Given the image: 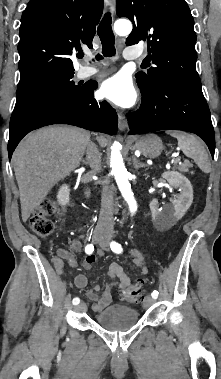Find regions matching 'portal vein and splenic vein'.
<instances>
[{
    "instance_id": "1",
    "label": "portal vein and splenic vein",
    "mask_w": 221,
    "mask_h": 379,
    "mask_svg": "<svg viewBox=\"0 0 221 379\" xmlns=\"http://www.w3.org/2000/svg\"><path fill=\"white\" fill-rule=\"evenodd\" d=\"M173 156V159H172V162L174 164H177L178 162H180L181 160V157L177 156V155H172Z\"/></svg>"
}]
</instances>
